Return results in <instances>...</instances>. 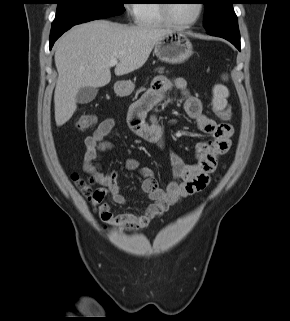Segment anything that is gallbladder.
I'll use <instances>...</instances> for the list:
<instances>
[{
	"mask_svg": "<svg viewBox=\"0 0 290 321\" xmlns=\"http://www.w3.org/2000/svg\"><path fill=\"white\" fill-rule=\"evenodd\" d=\"M98 93V89L94 87H82L76 95V101L81 104H86L93 101Z\"/></svg>",
	"mask_w": 290,
	"mask_h": 321,
	"instance_id": "1",
	"label": "gallbladder"
}]
</instances>
